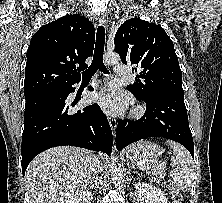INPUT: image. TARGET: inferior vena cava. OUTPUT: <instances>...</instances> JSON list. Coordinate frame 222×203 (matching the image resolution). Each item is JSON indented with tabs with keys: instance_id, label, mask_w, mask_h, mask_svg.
I'll return each mask as SVG.
<instances>
[{
	"instance_id": "602c4592",
	"label": "inferior vena cava",
	"mask_w": 222,
	"mask_h": 203,
	"mask_svg": "<svg viewBox=\"0 0 222 203\" xmlns=\"http://www.w3.org/2000/svg\"><path fill=\"white\" fill-rule=\"evenodd\" d=\"M91 171H92L93 178H98V174L101 172V167L99 165V162L92 163Z\"/></svg>"
}]
</instances>
